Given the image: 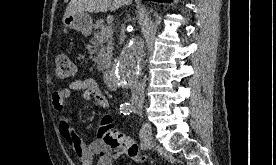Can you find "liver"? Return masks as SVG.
<instances>
[{
  "instance_id": "obj_1",
  "label": "liver",
  "mask_w": 276,
  "mask_h": 165,
  "mask_svg": "<svg viewBox=\"0 0 276 165\" xmlns=\"http://www.w3.org/2000/svg\"><path fill=\"white\" fill-rule=\"evenodd\" d=\"M130 0H71L66 8L65 16L76 13H103L115 11Z\"/></svg>"
}]
</instances>
